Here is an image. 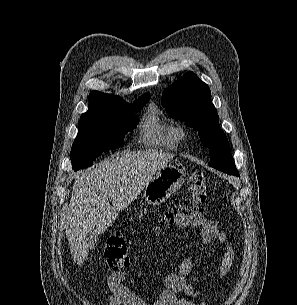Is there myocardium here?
<instances>
[{
    "label": "myocardium",
    "instance_id": "f54148a6",
    "mask_svg": "<svg viewBox=\"0 0 297 305\" xmlns=\"http://www.w3.org/2000/svg\"><path fill=\"white\" fill-rule=\"evenodd\" d=\"M177 135H178V138L180 140V139L185 137L186 132L183 128H177Z\"/></svg>",
    "mask_w": 297,
    "mask_h": 305
}]
</instances>
